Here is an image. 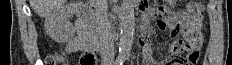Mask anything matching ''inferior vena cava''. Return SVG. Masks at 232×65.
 I'll return each mask as SVG.
<instances>
[{
  "label": "inferior vena cava",
  "instance_id": "inferior-vena-cava-1",
  "mask_svg": "<svg viewBox=\"0 0 232 65\" xmlns=\"http://www.w3.org/2000/svg\"><path fill=\"white\" fill-rule=\"evenodd\" d=\"M92 3L95 9L103 59L105 61H112L114 59V41L111 33V24L108 19L107 0H92Z\"/></svg>",
  "mask_w": 232,
  "mask_h": 65
}]
</instances>
